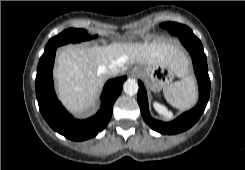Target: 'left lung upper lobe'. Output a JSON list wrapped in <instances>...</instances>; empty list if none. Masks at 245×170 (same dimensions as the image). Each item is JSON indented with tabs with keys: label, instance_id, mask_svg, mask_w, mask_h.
<instances>
[{
	"label": "left lung upper lobe",
	"instance_id": "1",
	"mask_svg": "<svg viewBox=\"0 0 245 170\" xmlns=\"http://www.w3.org/2000/svg\"><path fill=\"white\" fill-rule=\"evenodd\" d=\"M161 26L163 28H166L171 34L176 35V36H181V32L189 28L185 25H181L175 22H166V23H163Z\"/></svg>",
	"mask_w": 245,
	"mask_h": 170
}]
</instances>
